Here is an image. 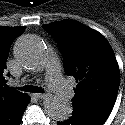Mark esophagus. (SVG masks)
I'll return each instance as SVG.
<instances>
[{"label": "esophagus", "instance_id": "esophagus-1", "mask_svg": "<svg viewBox=\"0 0 125 125\" xmlns=\"http://www.w3.org/2000/svg\"><path fill=\"white\" fill-rule=\"evenodd\" d=\"M33 97L35 98H45L47 96V94H42V93H37V94H32Z\"/></svg>", "mask_w": 125, "mask_h": 125}]
</instances>
